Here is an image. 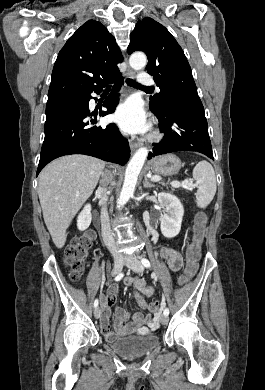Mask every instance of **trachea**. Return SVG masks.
I'll return each mask as SVG.
<instances>
[{"mask_svg":"<svg viewBox=\"0 0 265 390\" xmlns=\"http://www.w3.org/2000/svg\"><path fill=\"white\" fill-rule=\"evenodd\" d=\"M126 83H127L128 86H131V87H134V88H149V87H146V86H143V85L137 83L136 81H134V80H132L130 78L126 79Z\"/></svg>","mask_w":265,"mask_h":390,"instance_id":"trachea-1","label":"trachea"}]
</instances>
